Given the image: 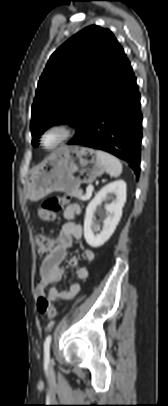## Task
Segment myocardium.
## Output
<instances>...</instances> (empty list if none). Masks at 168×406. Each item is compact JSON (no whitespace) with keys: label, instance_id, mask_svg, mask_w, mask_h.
Wrapping results in <instances>:
<instances>
[{"label":"myocardium","instance_id":"f54148a6","mask_svg":"<svg viewBox=\"0 0 168 406\" xmlns=\"http://www.w3.org/2000/svg\"><path fill=\"white\" fill-rule=\"evenodd\" d=\"M49 133H57L59 135L57 142L55 144H53L52 146H46L44 143V139ZM72 134H73V128L69 124L54 123V124L49 125L48 127H46L43 130V132L40 135L39 140H40L41 146L45 150L51 151V150H54V149L60 147L65 142H67L70 139V137L72 136Z\"/></svg>","mask_w":168,"mask_h":406}]
</instances>
